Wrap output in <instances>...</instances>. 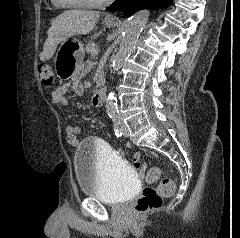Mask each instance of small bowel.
Returning a JSON list of instances; mask_svg holds the SVG:
<instances>
[{"label":"small bowel","mask_w":240,"mask_h":238,"mask_svg":"<svg viewBox=\"0 0 240 238\" xmlns=\"http://www.w3.org/2000/svg\"><path fill=\"white\" fill-rule=\"evenodd\" d=\"M91 67V63H86L82 68V73H85ZM72 90L76 95H82L84 92V87L78 79L72 80L70 83H63L51 92V100L55 106L58 107H68L69 101L66 97V93ZM81 132V128L75 125H68L66 127V139L69 145L77 146L79 143L78 135ZM125 148H135V143H125ZM119 154H126V149H119ZM135 156L130 157V167H135V171L138 174H145L147 171V166L143 165L141 162L142 151H135Z\"/></svg>","instance_id":"small-bowel-1"}]
</instances>
